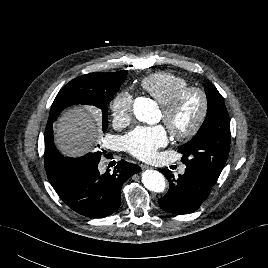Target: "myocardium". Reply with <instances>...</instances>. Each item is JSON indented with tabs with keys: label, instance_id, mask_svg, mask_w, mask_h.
Wrapping results in <instances>:
<instances>
[{
	"label": "myocardium",
	"instance_id": "myocardium-1",
	"mask_svg": "<svg viewBox=\"0 0 268 268\" xmlns=\"http://www.w3.org/2000/svg\"><path fill=\"white\" fill-rule=\"evenodd\" d=\"M191 93H195L200 98V111L194 122L191 126L184 130V131H175L171 129L170 122L175 115V112L179 108L180 104L182 103L183 99ZM209 113V97L206 91L197 86H187L180 89L170 100L167 104L162 106V114H163V122L165 123L166 127L168 128L172 137L180 142H186L192 139L201 129L203 126L207 116Z\"/></svg>",
	"mask_w": 268,
	"mask_h": 268
}]
</instances>
